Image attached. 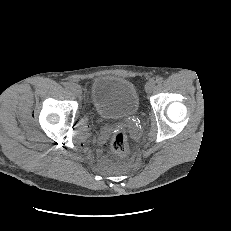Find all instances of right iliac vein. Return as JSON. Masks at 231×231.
Listing matches in <instances>:
<instances>
[{
    "mask_svg": "<svg viewBox=\"0 0 231 231\" xmlns=\"http://www.w3.org/2000/svg\"><path fill=\"white\" fill-rule=\"evenodd\" d=\"M70 90L76 96H79L82 92V89H81L80 85H78V84H72L70 86Z\"/></svg>",
    "mask_w": 231,
    "mask_h": 231,
    "instance_id": "1",
    "label": "right iliac vein"
}]
</instances>
